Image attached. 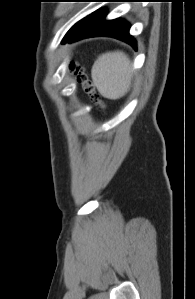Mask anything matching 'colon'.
Here are the masks:
<instances>
[{
	"mask_svg": "<svg viewBox=\"0 0 195 299\" xmlns=\"http://www.w3.org/2000/svg\"><path fill=\"white\" fill-rule=\"evenodd\" d=\"M70 68L75 73L77 79L83 84L85 91L93 95L94 94L93 86L89 81V79L87 78V76L85 75V73L82 71V69L75 63H72L70 65ZM100 106H102V104H100Z\"/></svg>",
	"mask_w": 195,
	"mask_h": 299,
	"instance_id": "1",
	"label": "colon"
}]
</instances>
